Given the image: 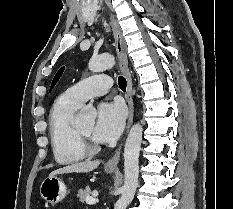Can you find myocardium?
<instances>
[{
  "label": "myocardium",
  "instance_id": "f54148a6",
  "mask_svg": "<svg viewBox=\"0 0 233 209\" xmlns=\"http://www.w3.org/2000/svg\"><path fill=\"white\" fill-rule=\"evenodd\" d=\"M75 133L78 145L85 154L93 155L101 150V146L94 142L89 136L82 133L78 126H75Z\"/></svg>",
  "mask_w": 233,
  "mask_h": 209
}]
</instances>
